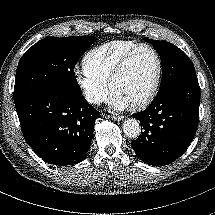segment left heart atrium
<instances>
[{
	"label": "left heart atrium",
	"mask_w": 215,
	"mask_h": 215,
	"mask_svg": "<svg viewBox=\"0 0 215 215\" xmlns=\"http://www.w3.org/2000/svg\"><path fill=\"white\" fill-rule=\"evenodd\" d=\"M109 104L115 110H124L130 105L124 97L114 92L110 94Z\"/></svg>",
	"instance_id": "left-heart-atrium-1"
}]
</instances>
